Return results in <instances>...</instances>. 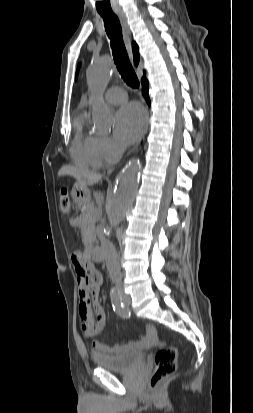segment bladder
I'll return each instance as SVG.
<instances>
[{"label":"bladder","instance_id":"obj_1","mask_svg":"<svg viewBox=\"0 0 253 413\" xmlns=\"http://www.w3.org/2000/svg\"><path fill=\"white\" fill-rule=\"evenodd\" d=\"M94 363L104 369L126 372L141 366L145 361V354L140 351L126 352L116 355H95Z\"/></svg>","mask_w":253,"mask_h":413}]
</instances>
